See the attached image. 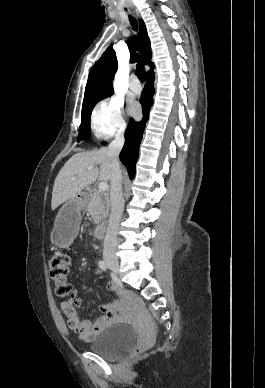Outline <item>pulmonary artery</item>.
Here are the masks:
<instances>
[{
	"label": "pulmonary artery",
	"mask_w": 265,
	"mask_h": 388,
	"mask_svg": "<svg viewBox=\"0 0 265 388\" xmlns=\"http://www.w3.org/2000/svg\"><path fill=\"white\" fill-rule=\"evenodd\" d=\"M129 81V90H134L135 94H139L141 92L140 89V81L139 75H130Z\"/></svg>",
	"instance_id": "e3ab8cb5"
}]
</instances>
